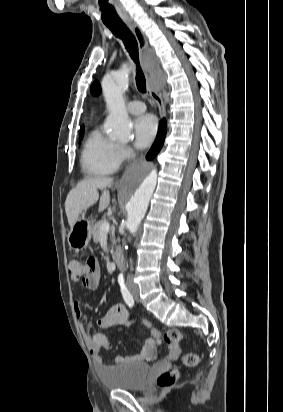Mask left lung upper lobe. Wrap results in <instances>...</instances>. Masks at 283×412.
I'll return each mask as SVG.
<instances>
[{"label":"left lung upper lobe","instance_id":"1","mask_svg":"<svg viewBox=\"0 0 283 412\" xmlns=\"http://www.w3.org/2000/svg\"><path fill=\"white\" fill-rule=\"evenodd\" d=\"M91 92L93 95H98L100 92V87L97 83H94L91 87Z\"/></svg>","mask_w":283,"mask_h":412}]
</instances>
